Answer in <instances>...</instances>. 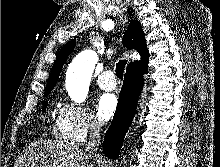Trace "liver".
<instances>
[{
    "label": "liver",
    "mask_w": 220,
    "mask_h": 167,
    "mask_svg": "<svg viewBox=\"0 0 220 167\" xmlns=\"http://www.w3.org/2000/svg\"><path fill=\"white\" fill-rule=\"evenodd\" d=\"M91 154L76 146L36 140L18 157L14 167H93ZM105 167L104 161H99Z\"/></svg>",
    "instance_id": "obj_1"
}]
</instances>
